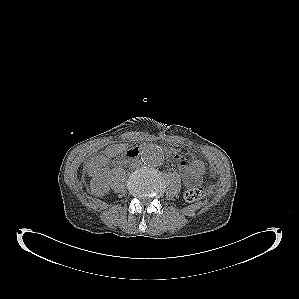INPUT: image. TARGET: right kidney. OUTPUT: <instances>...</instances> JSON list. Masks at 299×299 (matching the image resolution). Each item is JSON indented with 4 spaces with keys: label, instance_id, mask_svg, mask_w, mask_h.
Listing matches in <instances>:
<instances>
[{
    "label": "right kidney",
    "instance_id": "1",
    "mask_svg": "<svg viewBox=\"0 0 299 299\" xmlns=\"http://www.w3.org/2000/svg\"><path fill=\"white\" fill-rule=\"evenodd\" d=\"M91 190L97 196H103L109 191V185L103 173H99L92 179Z\"/></svg>",
    "mask_w": 299,
    "mask_h": 299
}]
</instances>
